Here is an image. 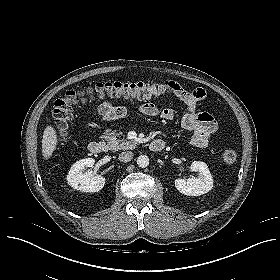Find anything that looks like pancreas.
<instances>
[{"label":"pancreas","instance_id":"obj_1","mask_svg":"<svg viewBox=\"0 0 280 280\" xmlns=\"http://www.w3.org/2000/svg\"><path fill=\"white\" fill-rule=\"evenodd\" d=\"M105 140H107V148L108 150L118 151V150H128L136 147V142L128 140L126 138L121 139L119 134L114 131H106L105 135L102 136Z\"/></svg>","mask_w":280,"mask_h":280}]
</instances>
